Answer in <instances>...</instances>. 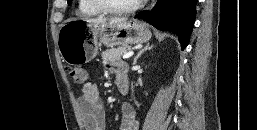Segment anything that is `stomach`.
Instances as JSON below:
<instances>
[{"instance_id":"0dacf381","label":"stomach","mask_w":257,"mask_h":130,"mask_svg":"<svg viewBox=\"0 0 257 130\" xmlns=\"http://www.w3.org/2000/svg\"><path fill=\"white\" fill-rule=\"evenodd\" d=\"M151 32L140 21L125 20L116 24L94 26L81 20L65 21L58 34V49L69 65L90 62L99 46H117L148 42Z\"/></svg>"}]
</instances>
